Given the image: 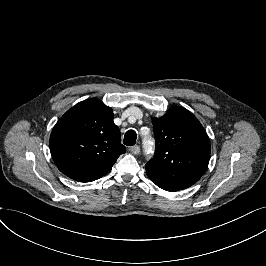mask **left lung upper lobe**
Segmentation results:
<instances>
[{"mask_svg":"<svg viewBox=\"0 0 266 266\" xmlns=\"http://www.w3.org/2000/svg\"><path fill=\"white\" fill-rule=\"evenodd\" d=\"M156 151L145 165L148 176L188 188L204 174L210 159L209 137L198 119L183 107L152 118Z\"/></svg>","mask_w":266,"mask_h":266,"instance_id":"1","label":"left lung upper lobe"}]
</instances>
